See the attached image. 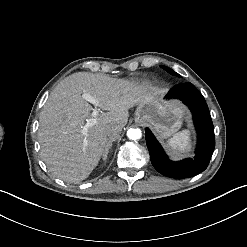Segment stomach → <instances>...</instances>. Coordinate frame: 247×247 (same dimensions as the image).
Wrapping results in <instances>:
<instances>
[{"label":"stomach","instance_id":"stomach-1","mask_svg":"<svg viewBox=\"0 0 247 247\" xmlns=\"http://www.w3.org/2000/svg\"><path fill=\"white\" fill-rule=\"evenodd\" d=\"M189 113L187 106L176 98H166V89H158L138 104L137 121L147 123L160 137L175 134Z\"/></svg>","mask_w":247,"mask_h":247}]
</instances>
